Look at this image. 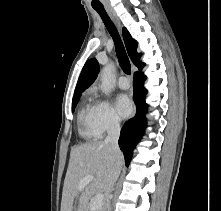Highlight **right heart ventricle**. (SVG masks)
I'll return each instance as SVG.
<instances>
[{"mask_svg": "<svg viewBox=\"0 0 221 211\" xmlns=\"http://www.w3.org/2000/svg\"><path fill=\"white\" fill-rule=\"evenodd\" d=\"M79 133L86 140H96L100 135L93 125L92 106L85 103L78 113Z\"/></svg>", "mask_w": 221, "mask_h": 211, "instance_id": "1", "label": "right heart ventricle"}]
</instances>
